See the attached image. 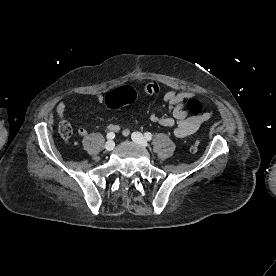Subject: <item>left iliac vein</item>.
<instances>
[{
    "instance_id": "4c4485c4",
    "label": "left iliac vein",
    "mask_w": 276,
    "mask_h": 276,
    "mask_svg": "<svg viewBox=\"0 0 276 276\" xmlns=\"http://www.w3.org/2000/svg\"><path fill=\"white\" fill-rule=\"evenodd\" d=\"M131 138L134 142L140 144L143 147L148 145L147 140L140 132H133Z\"/></svg>"
}]
</instances>
